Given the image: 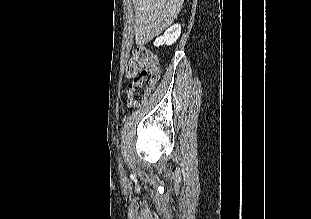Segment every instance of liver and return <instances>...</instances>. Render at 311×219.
<instances>
[{
  "label": "liver",
  "instance_id": "liver-1",
  "mask_svg": "<svg viewBox=\"0 0 311 219\" xmlns=\"http://www.w3.org/2000/svg\"><path fill=\"white\" fill-rule=\"evenodd\" d=\"M133 3L136 8L135 42L141 46L174 22L184 0H133Z\"/></svg>",
  "mask_w": 311,
  "mask_h": 219
}]
</instances>
